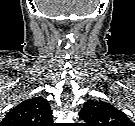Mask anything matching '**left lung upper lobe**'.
<instances>
[{"label": "left lung upper lobe", "mask_w": 135, "mask_h": 126, "mask_svg": "<svg viewBox=\"0 0 135 126\" xmlns=\"http://www.w3.org/2000/svg\"><path fill=\"white\" fill-rule=\"evenodd\" d=\"M85 126H128L129 119L125 113L110 103L101 100H88L79 113Z\"/></svg>", "instance_id": "obj_1"}]
</instances>
